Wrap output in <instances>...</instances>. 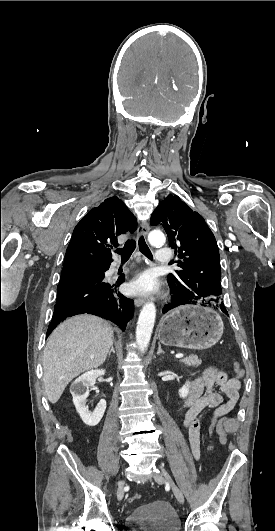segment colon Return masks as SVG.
<instances>
[{"mask_svg": "<svg viewBox=\"0 0 275 531\" xmlns=\"http://www.w3.org/2000/svg\"><path fill=\"white\" fill-rule=\"evenodd\" d=\"M233 367H234V371H235V373H236L239 377L243 375V368H242V366H241L239 363L235 362V363L233 364ZM217 427H218L217 420H216L215 418H212V419L208 422L207 427H206V429H205V435H206V437H208V438L213 437V435H214L215 432H216ZM138 499H140V495H139V494H135V495H133V496L129 499V501H130V502H135V501H137Z\"/></svg>", "mask_w": 275, "mask_h": 531, "instance_id": "5ec220e1", "label": "colon"}]
</instances>
